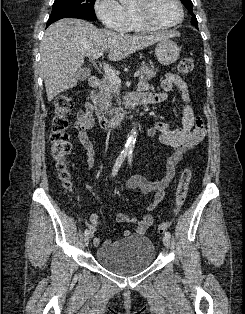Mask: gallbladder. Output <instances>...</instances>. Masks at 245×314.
Wrapping results in <instances>:
<instances>
[{"mask_svg":"<svg viewBox=\"0 0 245 314\" xmlns=\"http://www.w3.org/2000/svg\"><path fill=\"white\" fill-rule=\"evenodd\" d=\"M90 75L91 71L86 67L80 68L76 73V77L79 81H84L88 79Z\"/></svg>","mask_w":245,"mask_h":314,"instance_id":"1","label":"gallbladder"}]
</instances>
